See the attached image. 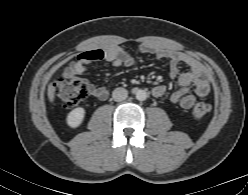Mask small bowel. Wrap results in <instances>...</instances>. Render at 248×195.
I'll list each match as a JSON object with an SVG mask.
<instances>
[{
  "instance_id": "1",
  "label": "small bowel",
  "mask_w": 248,
  "mask_h": 195,
  "mask_svg": "<svg viewBox=\"0 0 248 195\" xmlns=\"http://www.w3.org/2000/svg\"><path fill=\"white\" fill-rule=\"evenodd\" d=\"M141 53L154 54L159 59H166L170 62V76L177 78L178 88L172 92L170 100L184 109L191 108L196 100L193 94H189V89L193 87L196 96L205 97L210 92L209 76L204 67L193 58L179 52L156 46L150 43L142 44L139 48ZM135 62L134 56L129 51L120 47H110L107 49H91L84 52L81 57L64 69V76L75 78L82 75L90 67L98 64L111 65L115 67L131 66ZM187 64L190 70L180 73L179 65ZM81 81L87 86L88 92L99 100H105L109 91L106 87L97 86L87 79ZM166 91L165 86L157 85L153 88V94L161 97Z\"/></svg>"
}]
</instances>
